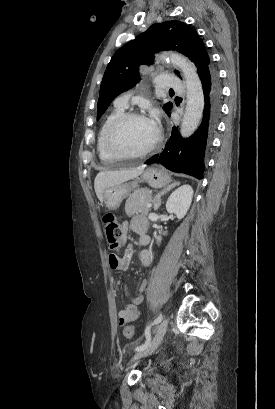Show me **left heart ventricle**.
I'll return each mask as SVG.
<instances>
[{
	"mask_svg": "<svg viewBox=\"0 0 275 409\" xmlns=\"http://www.w3.org/2000/svg\"><path fill=\"white\" fill-rule=\"evenodd\" d=\"M154 133L153 125L148 121H128L117 131L113 149L115 152H129L142 149L151 141Z\"/></svg>",
	"mask_w": 275,
	"mask_h": 409,
	"instance_id": "left-heart-ventricle-1",
	"label": "left heart ventricle"
}]
</instances>
